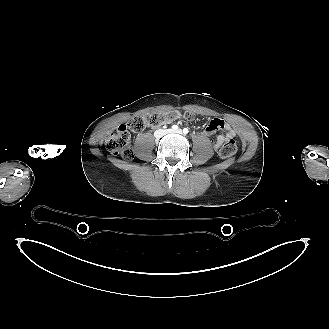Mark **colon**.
<instances>
[{"instance_id": "1", "label": "colon", "mask_w": 329, "mask_h": 329, "mask_svg": "<svg viewBox=\"0 0 329 329\" xmlns=\"http://www.w3.org/2000/svg\"><path fill=\"white\" fill-rule=\"evenodd\" d=\"M181 114L177 111H167L159 113H150L144 115H137L132 117L126 124H121L115 132L111 133L105 145L107 150L118 155L124 160H130L133 157L131 146L130 132L139 133L149 127H157L164 123L179 119ZM194 114L185 113L183 118L187 121L194 119ZM237 150L236 141L231 138L226 140L219 149V154L222 158H229L235 154Z\"/></svg>"}]
</instances>
